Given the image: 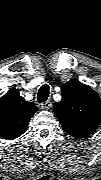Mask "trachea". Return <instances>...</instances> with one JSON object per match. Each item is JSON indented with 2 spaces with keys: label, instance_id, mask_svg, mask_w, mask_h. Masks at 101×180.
<instances>
[{
  "label": "trachea",
  "instance_id": "obj_1",
  "mask_svg": "<svg viewBox=\"0 0 101 180\" xmlns=\"http://www.w3.org/2000/svg\"><path fill=\"white\" fill-rule=\"evenodd\" d=\"M49 86L47 84L40 87L38 90V96L37 99L39 102H45L49 97Z\"/></svg>",
  "mask_w": 101,
  "mask_h": 180
}]
</instances>
